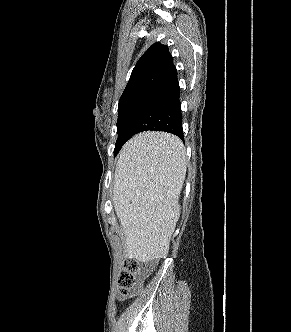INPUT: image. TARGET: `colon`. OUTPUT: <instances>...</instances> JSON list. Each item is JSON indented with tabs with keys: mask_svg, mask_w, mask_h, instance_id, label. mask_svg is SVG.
Here are the masks:
<instances>
[{
	"mask_svg": "<svg viewBox=\"0 0 291 332\" xmlns=\"http://www.w3.org/2000/svg\"><path fill=\"white\" fill-rule=\"evenodd\" d=\"M151 268V265H144L136 260L125 261L118 277V294L120 298L124 299L138 292L142 288Z\"/></svg>",
	"mask_w": 291,
	"mask_h": 332,
	"instance_id": "colon-1",
	"label": "colon"
}]
</instances>
